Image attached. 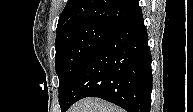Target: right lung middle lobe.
Here are the masks:
<instances>
[{
	"label": "right lung middle lobe",
	"mask_w": 193,
	"mask_h": 112,
	"mask_svg": "<svg viewBox=\"0 0 193 112\" xmlns=\"http://www.w3.org/2000/svg\"><path fill=\"white\" fill-rule=\"evenodd\" d=\"M112 30L96 25L68 28L56 36L55 66L59 76V104H64L73 81L91 53L111 34Z\"/></svg>",
	"instance_id": "1"
}]
</instances>
